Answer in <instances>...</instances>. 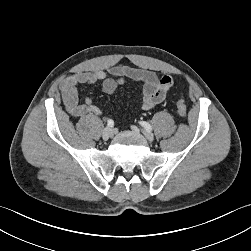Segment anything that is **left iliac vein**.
Wrapping results in <instances>:
<instances>
[{
	"label": "left iliac vein",
	"instance_id": "left-iliac-vein-1",
	"mask_svg": "<svg viewBox=\"0 0 251 251\" xmlns=\"http://www.w3.org/2000/svg\"><path fill=\"white\" fill-rule=\"evenodd\" d=\"M132 130L135 131V132H139L140 129L136 126H131ZM141 132L143 133V135L145 136V138L148 140V141H153L154 140V135L152 132L150 131H147V130H141Z\"/></svg>",
	"mask_w": 251,
	"mask_h": 251
}]
</instances>
